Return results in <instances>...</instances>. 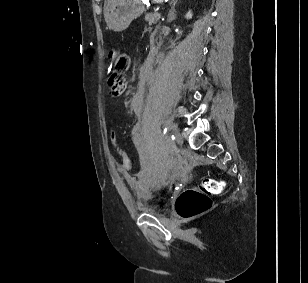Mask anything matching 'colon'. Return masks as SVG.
I'll use <instances>...</instances> for the list:
<instances>
[{
  "instance_id": "1",
  "label": "colon",
  "mask_w": 308,
  "mask_h": 283,
  "mask_svg": "<svg viewBox=\"0 0 308 283\" xmlns=\"http://www.w3.org/2000/svg\"><path fill=\"white\" fill-rule=\"evenodd\" d=\"M112 75L109 84L121 87L126 83L125 73L130 67V57L127 53L113 49L109 53ZM114 139V135H113ZM122 165L131 168V160L126 152L119 149ZM224 183L216 179H205L198 187L190 188L180 194L176 201V210L179 216L185 219L203 213L211 206V196L222 192Z\"/></svg>"
}]
</instances>
